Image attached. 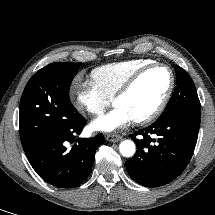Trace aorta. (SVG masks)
Returning <instances> with one entry per match:
<instances>
[{
    "label": "aorta",
    "instance_id": "aorta-1",
    "mask_svg": "<svg viewBox=\"0 0 215 215\" xmlns=\"http://www.w3.org/2000/svg\"><path fill=\"white\" fill-rule=\"evenodd\" d=\"M119 148L124 157H131L135 153V144L131 140L122 141Z\"/></svg>",
    "mask_w": 215,
    "mask_h": 215
}]
</instances>
